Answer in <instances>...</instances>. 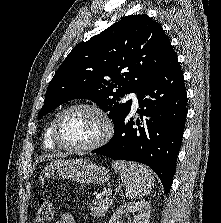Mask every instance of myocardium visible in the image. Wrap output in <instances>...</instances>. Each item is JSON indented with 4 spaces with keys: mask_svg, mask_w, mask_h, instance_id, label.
Segmentation results:
<instances>
[{
    "mask_svg": "<svg viewBox=\"0 0 221 223\" xmlns=\"http://www.w3.org/2000/svg\"><path fill=\"white\" fill-rule=\"evenodd\" d=\"M76 109L89 110L96 113L102 119L103 124H104V131L99 136V138L96 139L94 142L85 146L66 145L59 138V125L62 118L68 112L72 110H76ZM113 133H114V124L107 112H105L103 109H101L100 107L94 104L76 103L64 108L55 118L53 129H52V140L56 144V146L66 151L89 152V151L96 150L102 147L103 145H105L111 139V137L113 136Z\"/></svg>",
    "mask_w": 221,
    "mask_h": 223,
    "instance_id": "obj_1",
    "label": "myocardium"
}]
</instances>
